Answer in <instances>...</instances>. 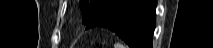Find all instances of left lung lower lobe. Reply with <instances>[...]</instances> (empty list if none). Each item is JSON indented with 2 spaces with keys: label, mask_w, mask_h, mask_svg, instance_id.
Returning a JSON list of instances; mask_svg holds the SVG:
<instances>
[{
  "label": "left lung lower lobe",
  "mask_w": 213,
  "mask_h": 48,
  "mask_svg": "<svg viewBox=\"0 0 213 48\" xmlns=\"http://www.w3.org/2000/svg\"><path fill=\"white\" fill-rule=\"evenodd\" d=\"M156 0H110L86 23L115 32L131 48H152Z\"/></svg>",
  "instance_id": "obj_1"
}]
</instances>
